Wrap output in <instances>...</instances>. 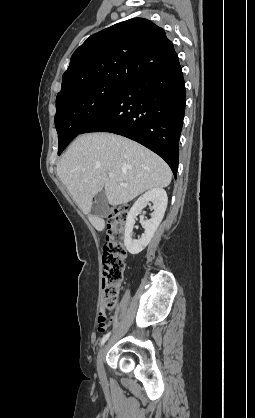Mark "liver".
<instances>
[{"mask_svg":"<svg viewBox=\"0 0 255 418\" xmlns=\"http://www.w3.org/2000/svg\"><path fill=\"white\" fill-rule=\"evenodd\" d=\"M57 174L84 214L90 213L93 197L103 188L109 204L117 206L147 190L167 187L172 178L158 155L135 141L103 132L79 136L59 161ZM90 219L97 230L105 228L103 219L92 215Z\"/></svg>","mask_w":255,"mask_h":418,"instance_id":"6515ba94","label":"liver"}]
</instances>
